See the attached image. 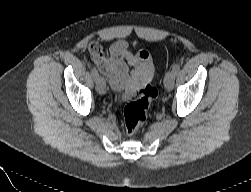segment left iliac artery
Segmentation results:
<instances>
[{"label":"left iliac artery","instance_id":"44dca946","mask_svg":"<svg viewBox=\"0 0 251 192\" xmlns=\"http://www.w3.org/2000/svg\"><path fill=\"white\" fill-rule=\"evenodd\" d=\"M179 70H180V65L178 63L172 66V71L175 75L179 72Z\"/></svg>","mask_w":251,"mask_h":192}]
</instances>
